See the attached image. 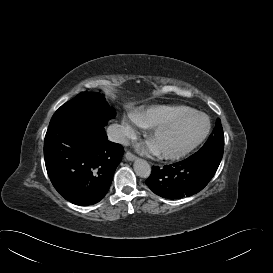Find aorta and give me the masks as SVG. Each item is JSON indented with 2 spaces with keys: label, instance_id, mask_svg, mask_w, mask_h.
<instances>
[{
  "label": "aorta",
  "instance_id": "obj_1",
  "mask_svg": "<svg viewBox=\"0 0 273 273\" xmlns=\"http://www.w3.org/2000/svg\"><path fill=\"white\" fill-rule=\"evenodd\" d=\"M134 171L141 178H148L151 174V166L143 159H136L134 162Z\"/></svg>",
  "mask_w": 273,
  "mask_h": 273
}]
</instances>
